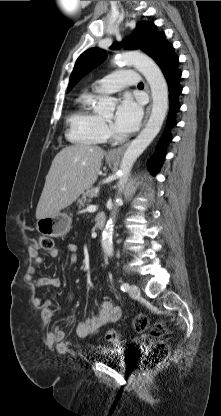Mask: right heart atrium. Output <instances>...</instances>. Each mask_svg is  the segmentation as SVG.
<instances>
[{
	"instance_id": "1",
	"label": "right heart atrium",
	"mask_w": 221,
	"mask_h": 416,
	"mask_svg": "<svg viewBox=\"0 0 221 416\" xmlns=\"http://www.w3.org/2000/svg\"><path fill=\"white\" fill-rule=\"evenodd\" d=\"M104 132H105V134L108 133V129H107V127L105 125H104Z\"/></svg>"
}]
</instances>
